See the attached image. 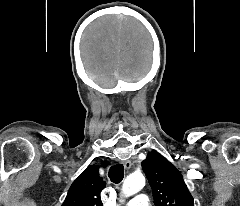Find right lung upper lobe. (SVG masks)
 <instances>
[{
    "mask_svg": "<svg viewBox=\"0 0 240 206\" xmlns=\"http://www.w3.org/2000/svg\"><path fill=\"white\" fill-rule=\"evenodd\" d=\"M104 162L103 166H107ZM98 166L91 165L72 183L62 206H103L100 198L106 183L99 177Z\"/></svg>",
    "mask_w": 240,
    "mask_h": 206,
    "instance_id": "right-lung-upper-lobe-1",
    "label": "right lung upper lobe"
}]
</instances>
